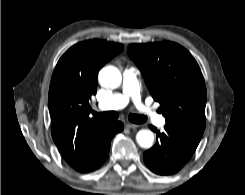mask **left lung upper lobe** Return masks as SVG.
Returning a JSON list of instances; mask_svg holds the SVG:
<instances>
[{"mask_svg":"<svg viewBox=\"0 0 245 195\" xmlns=\"http://www.w3.org/2000/svg\"><path fill=\"white\" fill-rule=\"evenodd\" d=\"M128 54L140 69L150 94L162 106L166 123L203 134L206 86L193 56L177 43L131 44Z\"/></svg>","mask_w":245,"mask_h":195,"instance_id":"left-lung-upper-lobe-1","label":"left lung upper lobe"}]
</instances>
